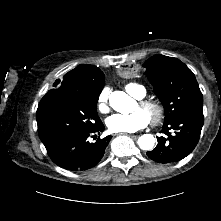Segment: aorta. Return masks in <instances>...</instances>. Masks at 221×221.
I'll use <instances>...</instances> for the list:
<instances>
[{"instance_id": "aorta-1", "label": "aorta", "mask_w": 221, "mask_h": 221, "mask_svg": "<svg viewBox=\"0 0 221 221\" xmlns=\"http://www.w3.org/2000/svg\"><path fill=\"white\" fill-rule=\"evenodd\" d=\"M110 106L117 112L129 113L132 110L134 100L123 91H114L109 97ZM138 145L142 150H152L155 138L152 134H143L138 138Z\"/></svg>"}]
</instances>
